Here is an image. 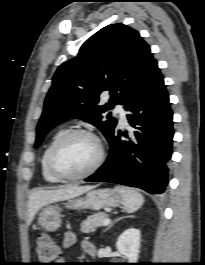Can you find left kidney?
<instances>
[{
	"instance_id": "5707ae66",
	"label": "left kidney",
	"mask_w": 205,
	"mask_h": 265,
	"mask_svg": "<svg viewBox=\"0 0 205 265\" xmlns=\"http://www.w3.org/2000/svg\"><path fill=\"white\" fill-rule=\"evenodd\" d=\"M140 230L129 228L125 230L116 242L120 254L128 259L129 263H137L140 249Z\"/></svg>"
}]
</instances>
